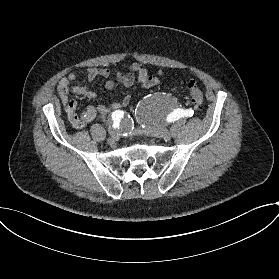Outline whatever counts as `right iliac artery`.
Wrapping results in <instances>:
<instances>
[{"label":"right iliac artery","mask_w":279,"mask_h":279,"mask_svg":"<svg viewBox=\"0 0 279 279\" xmlns=\"http://www.w3.org/2000/svg\"><path fill=\"white\" fill-rule=\"evenodd\" d=\"M123 113L121 111H115L112 113V120H113V127L118 128L119 127V121L123 117Z\"/></svg>","instance_id":"right-iliac-artery-1"}]
</instances>
